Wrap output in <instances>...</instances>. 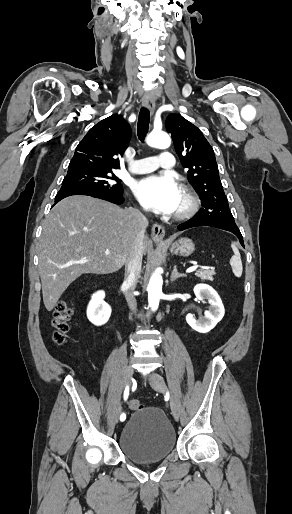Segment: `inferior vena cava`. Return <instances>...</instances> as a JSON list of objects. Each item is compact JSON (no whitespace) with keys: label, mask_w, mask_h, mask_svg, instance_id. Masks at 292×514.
<instances>
[{"label":"inferior vena cava","mask_w":292,"mask_h":514,"mask_svg":"<svg viewBox=\"0 0 292 514\" xmlns=\"http://www.w3.org/2000/svg\"><path fill=\"white\" fill-rule=\"evenodd\" d=\"M130 216L133 218V226L136 232L133 248L125 262V284L128 288L125 292V298L131 312H136L137 304L133 296V292L140 276L143 256V238L146 228L149 224L147 218L138 212V210H131Z\"/></svg>","instance_id":"obj_1"}]
</instances>
